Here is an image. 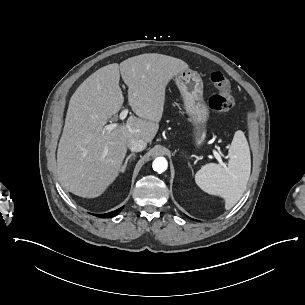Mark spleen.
I'll list each match as a JSON object with an SVG mask.
<instances>
[{
  "label": "spleen",
  "mask_w": 305,
  "mask_h": 305,
  "mask_svg": "<svg viewBox=\"0 0 305 305\" xmlns=\"http://www.w3.org/2000/svg\"><path fill=\"white\" fill-rule=\"evenodd\" d=\"M228 156V167L209 163L202 166L195 175L196 184L204 192L225 199L227 210L242 197L250 177V149L243 131L235 132Z\"/></svg>",
  "instance_id": "spleen-1"
}]
</instances>
